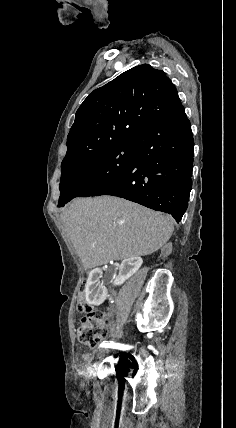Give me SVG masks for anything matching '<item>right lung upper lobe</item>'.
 Instances as JSON below:
<instances>
[{"label":"right lung upper lobe","instance_id":"1","mask_svg":"<svg viewBox=\"0 0 236 428\" xmlns=\"http://www.w3.org/2000/svg\"><path fill=\"white\" fill-rule=\"evenodd\" d=\"M181 106L175 86L162 70L143 64L125 71L91 92L77 110L61 168L135 140Z\"/></svg>","mask_w":236,"mask_h":428}]
</instances>
